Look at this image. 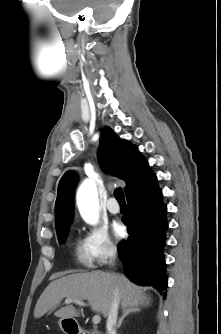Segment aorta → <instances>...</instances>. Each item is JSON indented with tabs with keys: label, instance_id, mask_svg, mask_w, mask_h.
Listing matches in <instances>:
<instances>
[{
	"label": "aorta",
	"instance_id": "obj_1",
	"mask_svg": "<svg viewBox=\"0 0 221 334\" xmlns=\"http://www.w3.org/2000/svg\"><path fill=\"white\" fill-rule=\"evenodd\" d=\"M76 202L80 215L88 224L94 225L99 219V200L96 185L85 180L78 188Z\"/></svg>",
	"mask_w": 221,
	"mask_h": 334
}]
</instances>
